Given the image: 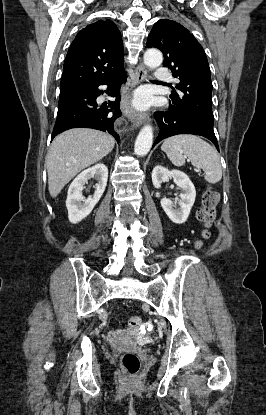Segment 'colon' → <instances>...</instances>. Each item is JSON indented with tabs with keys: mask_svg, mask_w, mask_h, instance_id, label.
<instances>
[{
	"mask_svg": "<svg viewBox=\"0 0 266 415\" xmlns=\"http://www.w3.org/2000/svg\"><path fill=\"white\" fill-rule=\"evenodd\" d=\"M218 202V193L212 188H208L203 194L202 206L197 213V218L204 227L202 232L203 238L209 235V228L215 219ZM196 244L198 246L200 242ZM126 326L134 330H139L142 326V320L137 316H132L128 319ZM120 362L124 372L129 376H135L140 370V359L134 352L123 353Z\"/></svg>",
	"mask_w": 266,
	"mask_h": 415,
	"instance_id": "5ec220e1",
	"label": "colon"
}]
</instances>
